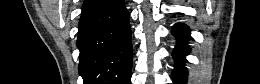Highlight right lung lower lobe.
<instances>
[{"label": "right lung lower lobe", "instance_id": "obj_1", "mask_svg": "<svg viewBox=\"0 0 260 84\" xmlns=\"http://www.w3.org/2000/svg\"><path fill=\"white\" fill-rule=\"evenodd\" d=\"M77 47L83 84H130L132 43L124 0H85Z\"/></svg>", "mask_w": 260, "mask_h": 84}]
</instances>
